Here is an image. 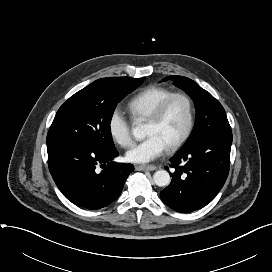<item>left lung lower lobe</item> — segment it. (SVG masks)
<instances>
[{
  "label": "left lung lower lobe",
  "instance_id": "obj_1",
  "mask_svg": "<svg viewBox=\"0 0 272 272\" xmlns=\"http://www.w3.org/2000/svg\"><path fill=\"white\" fill-rule=\"evenodd\" d=\"M231 143L232 133H224L203 138L181 149L170 160V167L175 168V172L171 174L170 185L160 192L162 201L182 213L210 203L227 179Z\"/></svg>",
  "mask_w": 272,
  "mask_h": 272
}]
</instances>
